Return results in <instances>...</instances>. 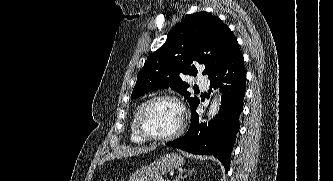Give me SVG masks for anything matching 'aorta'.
<instances>
[{
	"label": "aorta",
	"instance_id": "762f6f07",
	"mask_svg": "<svg viewBox=\"0 0 333 181\" xmlns=\"http://www.w3.org/2000/svg\"><path fill=\"white\" fill-rule=\"evenodd\" d=\"M220 100L221 98L218 95L214 97V99L211 102L209 111L207 112L208 118H213L217 114L220 107Z\"/></svg>",
	"mask_w": 333,
	"mask_h": 181
}]
</instances>
